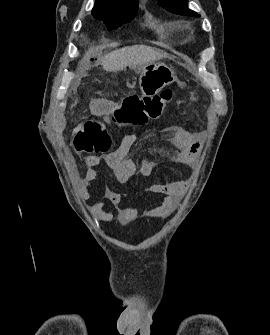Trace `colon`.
<instances>
[{
  "label": "colon",
  "instance_id": "5ec220e1",
  "mask_svg": "<svg viewBox=\"0 0 270 335\" xmlns=\"http://www.w3.org/2000/svg\"><path fill=\"white\" fill-rule=\"evenodd\" d=\"M181 90L166 89L154 97L130 95L111 116L105 117V122L112 123L116 119L121 128H137L156 121L161 117L165 104L172 102ZM103 122V116H95L94 121L87 120L83 123L73 139L76 152L89 156L109 152L112 140L100 124Z\"/></svg>",
  "mask_w": 270,
  "mask_h": 335
}]
</instances>
